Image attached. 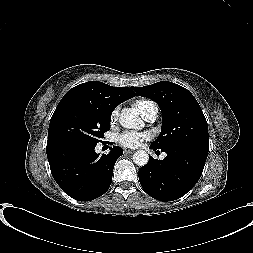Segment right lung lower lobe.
Segmentation results:
<instances>
[{"label":"right lung lower lobe","instance_id":"right-lung-lower-lobe-1","mask_svg":"<svg viewBox=\"0 0 253 253\" xmlns=\"http://www.w3.org/2000/svg\"><path fill=\"white\" fill-rule=\"evenodd\" d=\"M97 144L68 142L46 147L53 178L70 197L91 201L103 195L112 182L113 168L122 148L113 146L109 154H97Z\"/></svg>","mask_w":253,"mask_h":253}]
</instances>
